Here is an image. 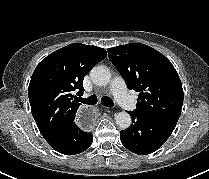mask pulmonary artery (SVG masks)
I'll return each mask as SVG.
<instances>
[{"label":"pulmonary artery","instance_id":"1","mask_svg":"<svg viewBox=\"0 0 209 179\" xmlns=\"http://www.w3.org/2000/svg\"><path fill=\"white\" fill-rule=\"evenodd\" d=\"M110 92L117 103L128 111L136 109V103L126 90L125 83L121 77H115L110 84Z\"/></svg>","mask_w":209,"mask_h":179}]
</instances>
